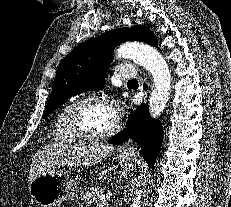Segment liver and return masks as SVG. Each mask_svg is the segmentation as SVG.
Returning <instances> with one entry per match:
<instances>
[{
    "label": "liver",
    "mask_w": 231,
    "mask_h": 207,
    "mask_svg": "<svg viewBox=\"0 0 231 207\" xmlns=\"http://www.w3.org/2000/svg\"><path fill=\"white\" fill-rule=\"evenodd\" d=\"M112 145L104 144H52L45 145L32 159L29 172V182L43 171L49 170L55 164L67 166H90L102 160L113 152ZM59 162V163H58Z\"/></svg>",
    "instance_id": "6515ba94"
}]
</instances>
